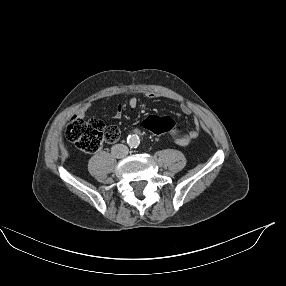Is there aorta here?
<instances>
[{
	"instance_id": "762f6f07",
	"label": "aorta",
	"mask_w": 286,
	"mask_h": 286,
	"mask_svg": "<svg viewBox=\"0 0 286 286\" xmlns=\"http://www.w3.org/2000/svg\"><path fill=\"white\" fill-rule=\"evenodd\" d=\"M127 144L131 147V148H136L139 146L140 144V138L138 135L133 134V135H129L127 138Z\"/></svg>"
}]
</instances>
